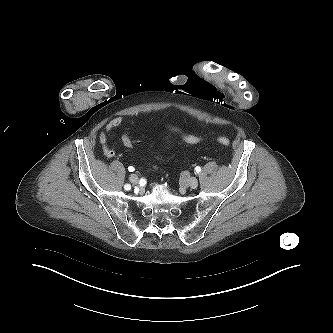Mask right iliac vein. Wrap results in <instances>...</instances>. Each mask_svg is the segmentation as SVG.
<instances>
[{"instance_id":"63e3f726","label":"right iliac vein","mask_w":333,"mask_h":333,"mask_svg":"<svg viewBox=\"0 0 333 333\" xmlns=\"http://www.w3.org/2000/svg\"><path fill=\"white\" fill-rule=\"evenodd\" d=\"M130 181L133 183V184H138V177L135 175V174H132L131 176H130Z\"/></svg>"}]
</instances>
